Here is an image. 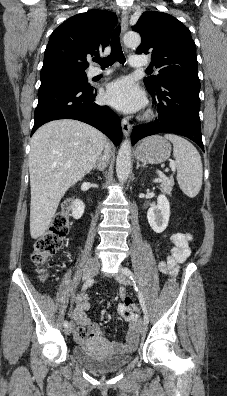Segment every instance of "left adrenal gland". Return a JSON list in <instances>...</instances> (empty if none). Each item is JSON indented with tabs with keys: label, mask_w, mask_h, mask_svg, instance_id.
Returning a JSON list of instances; mask_svg holds the SVG:
<instances>
[{
	"label": "left adrenal gland",
	"mask_w": 227,
	"mask_h": 396,
	"mask_svg": "<svg viewBox=\"0 0 227 396\" xmlns=\"http://www.w3.org/2000/svg\"><path fill=\"white\" fill-rule=\"evenodd\" d=\"M139 167H144V166L141 165L139 162H137L136 169H138Z\"/></svg>",
	"instance_id": "a2214340"
}]
</instances>
